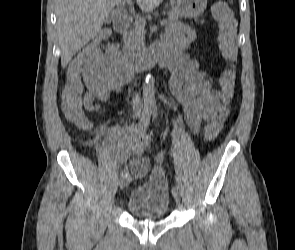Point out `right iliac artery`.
Returning a JSON list of instances; mask_svg holds the SVG:
<instances>
[{"label":"right iliac artery","instance_id":"1","mask_svg":"<svg viewBox=\"0 0 295 250\" xmlns=\"http://www.w3.org/2000/svg\"><path fill=\"white\" fill-rule=\"evenodd\" d=\"M151 117V111L149 109H144L142 113L141 123L140 126L146 128L149 125ZM122 177L128 175V170L124 169L121 173Z\"/></svg>","mask_w":295,"mask_h":250}]
</instances>
